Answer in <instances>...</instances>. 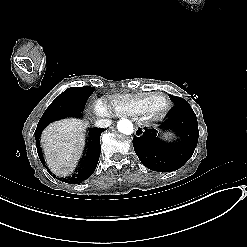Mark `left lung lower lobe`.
<instances>
[{
    "instance_id": "0a47b994",
    "label": "left lung lower lobe",
    "mask_w": 247,
    "mask_h": 247,
    "mask_svg": "<svg viewBox=\"0 0 247 247\" xmlns=\"http://www.w3.org/2000/svg\"><path fill=\"white\" fill-rule=\"evenodd\" d=\"M179 137L174 143L160 139L154 129L138 130L133 139L135 153L144 166L154 171L168 172L181 168L193 155L198 142L197 118L190 105L174 106L161 123Z\"/></svg>"
}]
</instances>
